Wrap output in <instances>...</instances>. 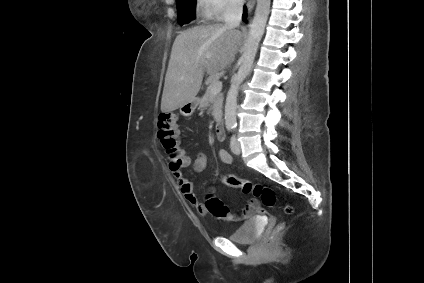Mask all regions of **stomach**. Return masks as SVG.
Wrapping results in <instances>:
<instances>
[{
  "instance_id": "1",
  "label": "stomach",
  "mask_w": 424,
  "mask_h": 283,
  "mask_svg": "<svg viewBox=\"0 0 424 283\" xmlns=\"http://www.w3.org/2000/svg\"><path fill=\"white\" fill-rule=\"evenodd\" d=\"M195 109V103L192 101V102H188V103H186L185 105H183L181 108H180V113L183 115V116H188V115H190L191 114V112H193V110ZM190 111V113H187L186 111Z\"/></svg>"
}]
</instances>
